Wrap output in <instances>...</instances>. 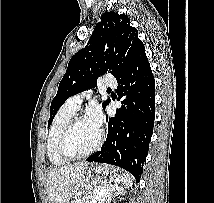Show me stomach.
Returning <instances> with one entry per match:
<instances>
[{
	"mask_svg": "<svg viewBox=\"0 0 214 203\" xmlns=\"http://www.w3.org/2000/svg\"><path fill=\"white\" fill-rule=\"evenodd\" d=\"M117 180L116 170L107 165H92L87 167L83 174V187L91 191L93 188L112 189Z\"/></svg>",
	"mask_w": 214,
	"mask_h": 203,
	"instance_id": "stomach-1",
	"label": "stomach"
}]
</instances>
